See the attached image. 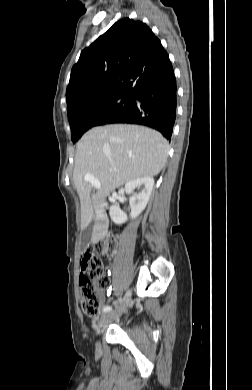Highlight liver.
Masks as SVG:
<instances>
[{
  "instance_id": "6515ba94",
  "label": "liver",
  "mask_w": 252,
  "mask_h": 390,
  "mask_svg": "<svg viewBox=\"0 0 252 390\" xmlns=\"http://www.w3.org/2000/svg\"><path fill=\"white\" fill-rule=\"evenodd\" d=\"M167 140L147 127L127 124L100 126L86 132L77 144L73 180L81 202V229L93 220L91 241L108 231L105 198L116 188L145 176H155L165 166ZM93 175L101 187L93 190L84 180Z\"/></svg>"
}]
</instances>
